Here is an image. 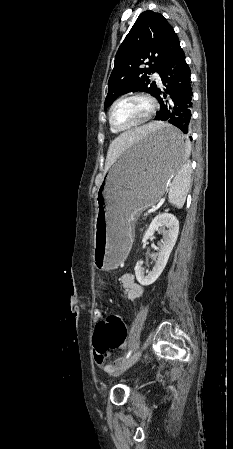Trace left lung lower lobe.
<instances>
[{"label": "left lung lower lobe", "mask_w": 233, "mask_h": 449, "mask_svg": "<svg viewBox=\"0 0 233 449\" xmlns=\"http://www.w3.org/2000/svg\"><path fill=\"white\" fill-rule=\"evenodd\" d=\"M190 75L191 71L181 48L160 73L168 96L164 95L165 99H162L159 89L153 95L160 103V111L157 112L155 120L166 121L181 130V137L170 133H163L160 136L161 142L172 150H181L189 143V139L192 140L189 136L193 97Z\"/></svg>", "instance_id": "0a47b994"}]
</instances>
